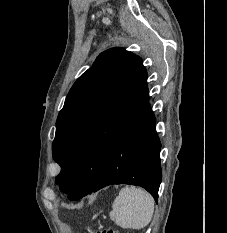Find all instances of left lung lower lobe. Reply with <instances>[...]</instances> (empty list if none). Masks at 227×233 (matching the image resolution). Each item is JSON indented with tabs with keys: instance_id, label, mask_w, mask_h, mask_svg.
<instances>
[{
	"instance_id": "1",
	"label": "left lung lower lobe",
	"mask_w": 227,
	"mask_h": 233,
	"mask_svg": "<svg viewBox=\"0 0 227 233\" xmlns=\"http://www.w3.org/2000/svg\"><path fill=\"white\" fill-rule=\"evenodd\" d=\"M160 149L155 117L152 108L149 107L115 145L92 191L96 192L111 184L138 185L151 193L157 202L162 179Z\"/></svg>"
}]
</instances>
